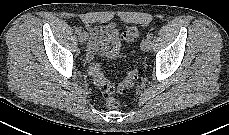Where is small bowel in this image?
Listing matches in <instances>:
<instances>
[{
  "mask_svg": "<svg viewBox=\"0 0 229 135\" xmlns=\"http://www.w3.org/2000/svg\"><path fill=\"white\" fill-rule=\"evenodd\" d=\"M103 31L109 37V47L106 50H104L103 54L114 57L117 55L120 49V43L118 42V38H117L118 30L114 25H106L103 28ZM90 49L93 50L94 47L92 46Z\"/></svg>",
  "mask_w": 229,
  "mask_h": 135,
  "instance_id": "c3829d8e",
  "label": "small bowel"
}]
</instances>
